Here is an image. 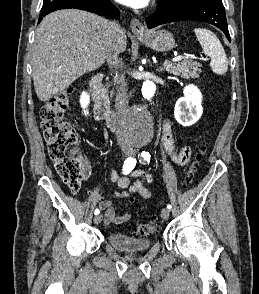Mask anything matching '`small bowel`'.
Returning <instances> with one entry per match:
<instances>
[{
	"mask_svg": "<svg viewBox=\"0 0 259 294\" xmlns=\"http://www.w3.org/2000/svg\"><path fill=\"white\" fill-rule=\"evenodd\" d=\"M162 143L165 150L169 153L172 159L180 164L184 165L188 162L191 151L189 147H184L181 150H177L171 130V124L169 120L163 123L162 128ZM82 175L84 179L89 178L91 175V164L86 157L82 160ZM131 176L136 177V180H131L129 176L118 177L116 172L110 173V179L117 182L118 186L123 190L118 194L122 199H125L124 209L118 213L113 203L107 199H101L99 201V207L105 212L104 223L105 224H123L127 222L131 214L126 209L129 204L134 201L136 195L147 199L150 197L151 192L147 187V182L151 181V174L142 170H134L131 172Z\"/></svg>",
	"mask_w": 259,
	"mask_h": 294,
	"instance_id": "obj_1",
	"label": "small bowel"
}]
</instances>
